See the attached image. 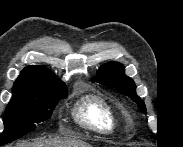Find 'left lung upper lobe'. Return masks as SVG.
Instances as JSON below:
<instances>
[{"label":"left lung upper lobe","mask_w":183,"mask_h":147,"mask_svg":"<svg viewBox=\"0 0 183 147\" xmlns=\"http://www.w3.org/2000/svg\"><path fill=\"white\" fill-rule=\"evenodd\" d=\"M96 81L130 97L138 104L140 110L146 113L144 102L136 94L135 83L130 77L126 76L124 66L121 63L109 62L102 66L97 72Z\"/></svg>","instance_id":"left-lung-upper-lobe-1"}]
</instances>
